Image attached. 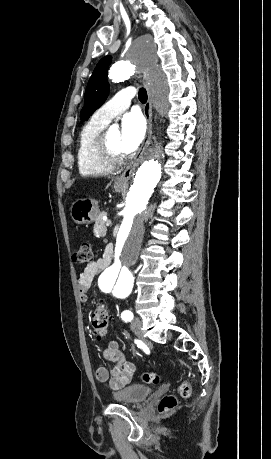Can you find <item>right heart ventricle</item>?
Segmentation results:
<instances>
[{"instance_id":"obj_1","label":"right heart ventricle","mask_w":271,"mask_h":459,"mask_svg":"<svg viewBox=\"0 0 271 459\" xmlns=\"http://www.w3.org/2000/svg\"><path fill=\"white\" fill-rule=\"evenodd\" d=\"M106 125L92 117L82 126L79 132L76 148V167L82 177L89 178L103 175L115 168L113 163L96 160L92 153L94 143Z\"/></svg>"}]
</instances>
